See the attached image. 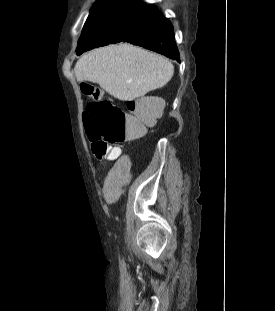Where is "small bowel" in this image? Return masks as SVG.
<instances>
[{
	"label": "small bowel",
	"instance_id": "obj_1",
	"mask_svg": "<svg viewBox=\"0 0 275 311\" xmlns=\"http://www.w3.org/2000/svg\"><path fill=\"white\" fill-rule=\"evenodd\" d=\"M118 154L114 158L115 159V169H109V175L106 179V182L103 184V189L107 190V192L115 193V194H105L104 199L105 201H118L119 195L118 193L121 192L125 180H128L131 176L134 175V170L131 169L133 162L131 153L128 151L127 155H120L121 150L120 148L117 149ZM120 180H122L120 182ZM108 213H119L120 208L119 206H108L107 208Z\"/></svg>",
	"mask_w": 275,
	"mask_h": 311
}]
</instances>
